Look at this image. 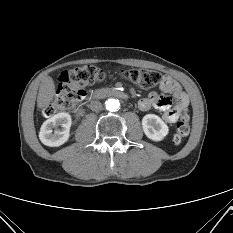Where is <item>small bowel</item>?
Here are the masks:
<instances>
[{"instance_id": "small-bowel-1", "label": "small bowel", "mask_w": 233, "mask_h": 233, "mask_svg": "<svg viewBox=\"0 0 233 233\" xmlns=\"http://www.w3.org/2000/svg\"><path fill=\"white\" fill-rule=\"evenodd\" d=\"M160 89L171 94L164 97L157 92H151L146 98L139 101L138 106L142 111L152 108L162 113V119L166 123H175L188 112L189 98L182 87L170 76H164L160 83Z\"/></svg>"}]
</instances>
